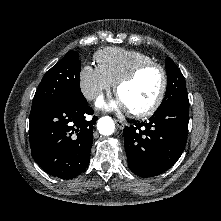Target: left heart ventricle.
I'll return each mask as SVG.
<instances>
[{
	"mask_svg": "<svg viewBox=\"0 0 221 221\" xmlns=\"http://www.w3.org/2000/svg\"><path fill=\"white\" fill-rule=\"evenodd\" d=\"M162 84L161 73L156 68L143 71L132 82L124 85L118 96L126 104L129 111L143 110L156 99Z\"/></svg>",
	"mask_w": 221,
	"mask_h": 221,
	"instance_id": "b2bd125f",
	"label": "left heart ventricle"
}]
</instances>
